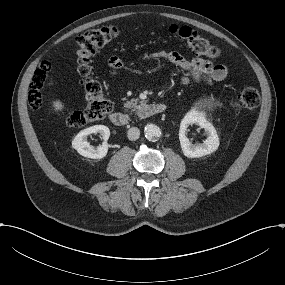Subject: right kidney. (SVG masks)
I'll return each instance as SVG.
<instances>
[{"label": "right kidney", "mask_w": 285, "mask_h": 285, "mask_svg": "<svg viewBox=\"0 0 285 285\" xmlns=\"http://www.w3.org/2000/svg\"><path fill=\"white\" fill-rule=\"evenodd\" d=\"M92 133H100L103 138L102 145L94 148L87 142V136ZM110 137V130L104 125H94L80 131L72 141V147L77 150V152L88 158L100 159L106 156L108 152L107 140Z\"/></svg>", "instance_id": "right-kidney-1"}]
</instances>
